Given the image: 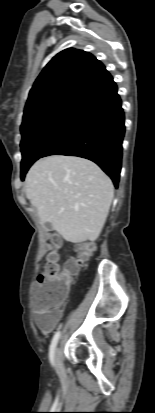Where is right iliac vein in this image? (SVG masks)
<instances>
[{"label":"right iliac vein","instance_id":"right-iliac-vein-1","mask_svg":"<svg viewBox=\"0 0 155 413\" xmlns=\"http://www.w3.org/2000/svg\"><path fill=\"white\" fill-rule=\"evenodd\" d=\"M54 362H55L57 370L61 371L63 364H62V355H61V351L59 348H57L54 352Z\"/></svg>","mask_w":155,"mask_h":413}]
</instances>
